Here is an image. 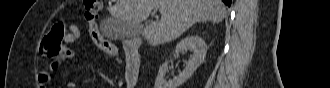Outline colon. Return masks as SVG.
<instances>
[{
  "instance_id": "obj_1",
  "label": "colon",
  "mask_w": 330,
  "mask_h": 88,
  "mask_svg": "<svg viewBox=\"0 0 330 88\" xmlns=\"http://www.w3.org/2000/svg\"><path fill=\"white\" fill-rule=\"evenodd\" d=\"M100 9L101 1L88 0L84 3V16L89 24L91 39L99 49L115 51V48L117 47L104 39L96 28L95 20L99 15ZM66 35L67 30L64 23L61 22L54 25L42 40V53L56 62V60L62 55L64 48L63 41Z\"/></svg>"
}]
</instances>
